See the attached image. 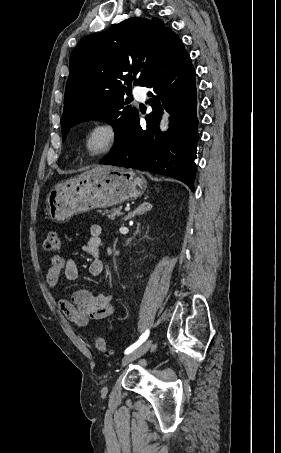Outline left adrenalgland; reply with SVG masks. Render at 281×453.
<instances>
[{"label":"left adrenal gland","mask_w":281,"mask_h":453,"mask_svg":"<svg viewBox=\"0 0 281 453\" xmlns=\"http://www.w3.org/2000/svg\"><path fill=\"white\" fill-rule=\"evenodd\" d=\"M152 204L150 202H142V204H139L137 208H134L132 212H129L127 216H124V220H127V218H132V216H135V214H144V212H147V210H151Z\"/></svg>","instance_id":"obj_1"}]
</instances>
